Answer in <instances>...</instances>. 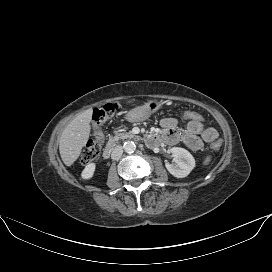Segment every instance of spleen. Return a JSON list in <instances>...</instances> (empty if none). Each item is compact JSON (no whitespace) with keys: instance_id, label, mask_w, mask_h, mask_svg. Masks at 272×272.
Returning a JSON list of instances; mask_svg holds the SVG:
<instances>
[{"instance_id":"3e777b00","label":"spleen","mask_w":272,"mask_h":272,"mask_svg":"<svg viewBox=\"0 0 272 272\" xmlns=\"http://www.w3.org/2000/svg\"><path fill=\"white\" fill-rule=\"evenodd\" d=\"M210 161V157H207L206 160L204 161V164H208Z\"/></svg>"}]
</instances>
